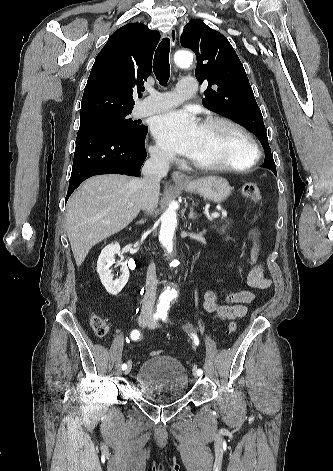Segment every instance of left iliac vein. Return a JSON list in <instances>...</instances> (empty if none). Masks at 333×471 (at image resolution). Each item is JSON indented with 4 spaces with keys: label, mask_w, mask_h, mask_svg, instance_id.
I'll use <instances>...</instances> for the list:
<instances>
[{
    "label": "left iliac vein",
    "mask_w": 333,
    "mask_h": 471,
    "mask_svg": "<svg viewBox=\"0 0 333 471\" xmlns=\"http://www.w3.org/2000/svg\"><path fill=\"white\" fill-rule=\"evenodd\" d=\"M149 325H150L151 327H158V326H159L157 323H155V322H153V321H150ZM193 375H194L195 378H198V377L200 376V375L197 374V372H195V371L193 372Z\"/></svg>",
    "instance_id": "obj_1"
}]
</instances>
